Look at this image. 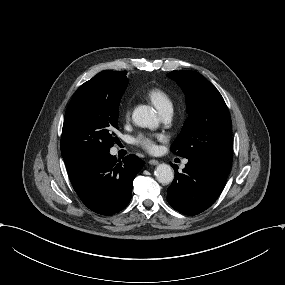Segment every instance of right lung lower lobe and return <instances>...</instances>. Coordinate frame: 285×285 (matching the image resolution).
<instances>
[{
    "mask_svg": "<svg viewBox=\"0 0 285 285\" xmlns=\"http://www.w3.org/2000/svg\"><path fill=\"white\" fill-rule=\"evenodd\" d=\"M143 167L135 155L118 162L110 153L80 161L70 172V181L81 201L93 212L112 215L131 199L133 179Z\"/></svg>",
    "mask_w": 285,
    "mask_h": 285,
    "instance_id": "1",
    "label": "right lung lower lobe"
}]
</instances>
